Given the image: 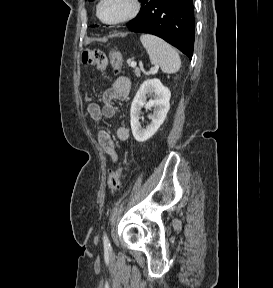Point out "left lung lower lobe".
<instances>
[{"label":"left lung lower lobe","instance_id":"left-lung-lower-lobe-1","mask_svg":"<svg viewBox=\"0 0 273 288\" xmlns=\"http://www.w3.org/2000/svg\"><path fill=\"white\" fill-rule=\"evenodd\" d=\"M138 16L127 24L130 31L161 37L190 59L194 46L193 0H140Z\"/></svg>","mask_w":273,"mask_h":288}]
</instances>
